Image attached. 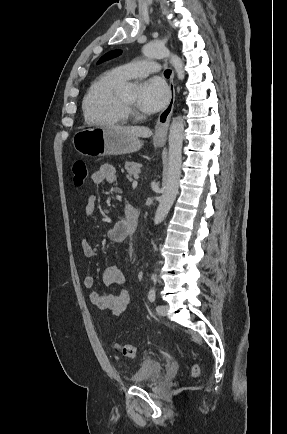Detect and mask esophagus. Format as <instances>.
<instances>
[{
    "instance_id": "obj_1",
    "label": "esophagus",
    "mask_w": 287,
    "mask_h": 434,
    "mask_svg": "<svg viewBox=\"0 0 287 434\" xmlns=\"http://www.w3.org/2000/svg\"><path fill=\"white\" fill-rule=\"evenodd\" d=\"M170 99L167 106L159 114L156 126H155V139L164 140L167 136V131L170 123V118L172 116L174 103H175V85H174V71L171 73L170 77Z\"/></svg>"
}]
</instances>
